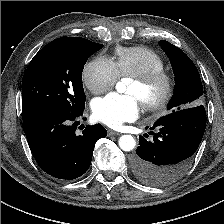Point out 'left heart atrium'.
<instances>
[{"instance_id":"obj_1","label":"left heart atrium","mask_w":224,"mask_h":224,"mask_svg":"<svg viewBox=\"0 0 224 224\" xmlns=\"http://www.w3.org/2000/svg\"><path fill=\"white\" fill-rule=\"evenodd\" d=\"M141 99L132 94L110 93L94 100L92 111L95 118L111 128L135 120L140 114Z\"/></svg>"}]
</instances>
